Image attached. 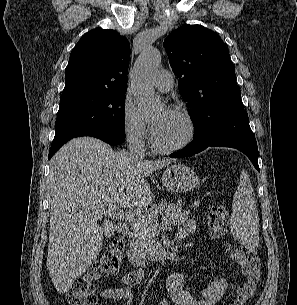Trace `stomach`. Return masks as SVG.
<instances>
[{
  "mask_svg": "<svg viewBox=\"0 0 297 305\" xmlns=\"http://www.w3.org/2000/svg\"><path fill=\"white\" fill-rule=\"evenodd\" d=\"M162 183L170 191L185 193L197 188L199 178L190 167L176 164L163 172Z\"/></svg>",
  "mask_w": 297,
  "mask_h": 305,
  "instance_id": "1",
  "label": "stomach"
}]
</instances>
